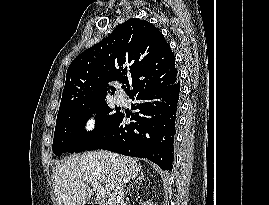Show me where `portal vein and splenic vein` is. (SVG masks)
Masks as SVG:
<instances>
[{"label": "portal vein and splenic vein", "mask_w": 269, "mask_h": 205, "mask_svg": "<svg viewBox=\"0 0 269 205\" xmlns=\"http://www.w3.org/2000/svg\"><path fill=\"white\" fill-rule=\"evenodd\" d=\"M91 185L93 186L94 190L96 191V198L102 199L106 195V191L103 186L98 184L97 182H91Z\"/></svg>", "instance_id": "18ae733b"}]
</instances>
